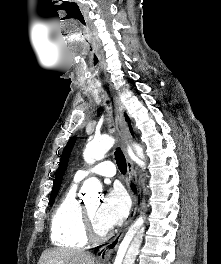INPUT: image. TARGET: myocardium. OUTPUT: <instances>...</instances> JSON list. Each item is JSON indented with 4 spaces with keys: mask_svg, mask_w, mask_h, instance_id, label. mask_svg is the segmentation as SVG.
<instances>
[{
    "mask_svg": "<svg viewBox=\"0 0 221 264\" xmlns=\"http://www.w3.org/2000/svg\"><path fill=\"white\" fill-rule=\"evenodd\" d=\"M82 216H83L85 232L89 240L103 241L107 239V237L109 236V230H106L105 232L97 231L94 222L85 206H82Z\"/></svg>",
    "mask_w": 221,
    "mask_h": 264,
    "instance_id": "myocardium-1",
    "label": "myocardium"
}]
</instances>
